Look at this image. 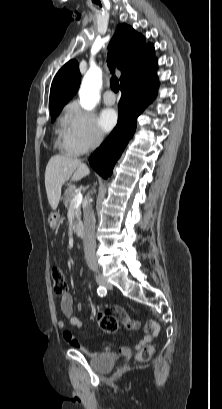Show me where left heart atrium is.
Wrapping results in <instances>:
<instances>
[{
    "instance_id": "obj_1",
    "label": "left heart atrium",
    "mask_w": 222,
    "mask_h": 409,
    "mask_svg": "<svg viewBox=\"0 0 222 409\" xmlns=\"http://www.w3.org/2000/svg\"><path fill=\"white\" fill-rule=\"evenodd\" d=\"M98 123L103 132L111 131L117 123V113L113 109H105L101 112Z\"/></svg>"
}]
</instances>
